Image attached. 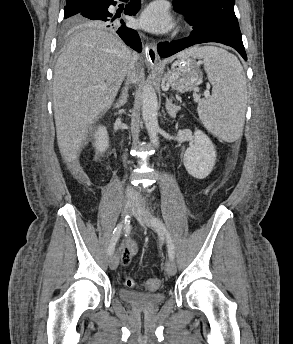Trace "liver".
<instances>
[{"instance_id": "obj_1", "label": "liver", "mask_w": 293, "mask_h": 344, "mask_svg": "<svg viewBox=\"0 0 293 344\" xmlns=\"http://www.w3.org/2000/svg\"><path fill=\"white\" fill-rule=\"evenodd\" d=\"M133 71L132 82L137 84L140 76L131 51L111 33L92 26L70 39L53 77L57 143L67 164L78 159L88 129L110 109Z\"/></svg>"}]
</instances>
